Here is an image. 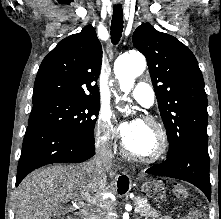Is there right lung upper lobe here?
Here are the masks:
<instances>
[{
	"mask_svg": "<svg viewBox=\"0 0 221 219\" xmlns=\"http://www.w3.org/2000/svg\"><path fill=\"white\" fill-rule=\"evenodd\" d=\"M102 63V47L91 25L60 41L38 70L33 103L46 99L100 101L95 84Z\"/></svg>",
	"mask_w": 221,
	"mask_h": 219,
	"instance_id": "1",
	"label": "right lung upper lobe"
}]
</instances>
